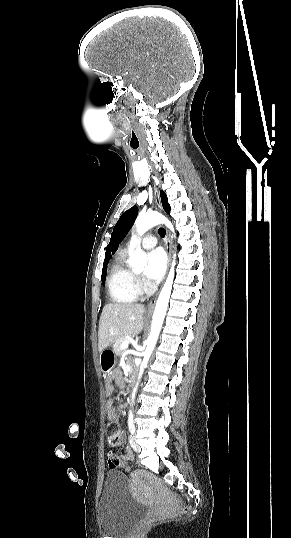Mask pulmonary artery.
Masks as SVG:
<instances>
[{"label":"pulmonary artery","instance_id":"e3ab8cb5","mask_svg":"<svg viewBox=\"0 0 291 538\" xmlns=\"http://www.w3.org/2000/svg\"><path fill=\"white\" fill-rule=\"evenodd\" d=\"M157 244V238L154 235H147L141 240L142 247L146 249H151Z\"/></svg>","mask_w":291,"mask_h":538}]
</instances>
